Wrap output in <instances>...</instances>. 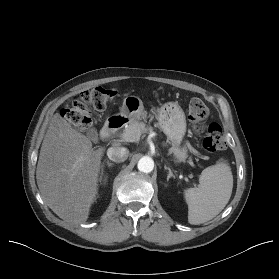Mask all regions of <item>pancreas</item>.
<instances>
[{
  "label": "pancreas",
  "instance_id": "cf45deb5",
  "mask_svg": "<svg viewBox=\"0 0 279 279\" xmlns=\"http://www.w3.org/2000/svg\"><path fill=\"white\" fill-rule=\"evenodd\" d=\"M148 128L146 127L144 122L134 121L130 123L124 130L123 134L126 132H130L135 138L134 141L140 138V135L147 132Z\"/></svg>",
  "mask_w": 279,
  "mask_h": 279
}]
</instances>
